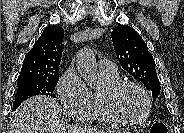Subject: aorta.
Masks as SVG:
<instances>
[{"label":"aorta","instance_id":"762f6f07","mask_svg":"<svg viewBox=\"0 0 184 133\" xmlns=\"http://www.w3.org/2000/svg\"><path fill=\"white\" fill-rule=\"evenodd\" d=\"M76 66L88 87L96 88L99 84V74L95 56L90 48L84 47L79 50L76 55Z\"/></svg>","mask_w":184,"mask_h":133}]
</instances>
